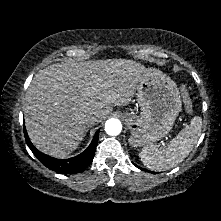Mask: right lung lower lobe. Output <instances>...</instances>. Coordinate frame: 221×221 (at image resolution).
<instances>
[{"label":"right lung lower lobe","mask_w":221,"mask_h":221,"mask_svg":"<svg viewBox=\"0 0 221 221\" xmlns=\"http://www.w3.org/2000/svg\"><path fill=\"white\" fill-rule=\"evenodd\" d=\"M24 135H25V140H26L28 147L43 165H45L46 167H48L49 169L57 173L76 174V173L83 171L92 162L94 158L96 146L98 143L99 130L95 133L91 144L87 147L85 151L69 159H56V158H53L46 154L41 153L31 143L27 135L25 126H24Z\"/></svg>","instance_id":"1"}]
</instances>
